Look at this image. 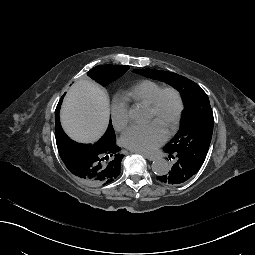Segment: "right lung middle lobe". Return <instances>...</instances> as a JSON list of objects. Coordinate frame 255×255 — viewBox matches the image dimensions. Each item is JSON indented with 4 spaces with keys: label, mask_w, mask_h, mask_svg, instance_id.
<instances>
[{
    "label": "right lung middle lobe",
    "mask_w": 255,
    "mask_h": 255,
    "mask_svg": "<svg viewBox=\"0 0 255 255\" xmlns=\"http://www.w3.org/2000/svg\"><path fill=\"white\" fill-rule=\"evenodd\" d=\"M128 69L129 66L106 64L92 68L87 74L102 86H106L111 81L121 77Z\"/></svg>",
    "instance_id": "obj_1"
}]
</instances>
